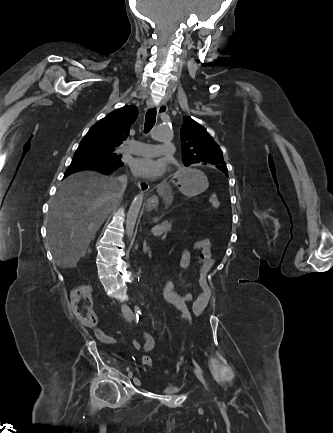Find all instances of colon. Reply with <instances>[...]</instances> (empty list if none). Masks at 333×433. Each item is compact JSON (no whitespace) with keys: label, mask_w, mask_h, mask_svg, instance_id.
Returning <instances> with one entry per match:
<instances>
[{"label":"colon","mask_w":333,"mask_h":433,"mask_svg":"<svg viewBox=\"0 0 333 433\" xmlns=\"http://www.w3.org/2000/svg\"><path fill=\"white\" fill-rule=\"evenodd\" d=\"M209 202L213 208L218 209L220 207V201L216 194H212L209 197ZM162 290L161 298L166 305H170L171 308L177 309L178 313H181V319L185 320L186 324L192 323L197 325V320H192V314L190 313L188 303L179 297L178 292H173L175 288L172 285L170 276H167L165 285L160 287ZM71 308L75 317L85 326L94 327L97 324V317L92 309V298L90 287L88 285H79L71 291ZM142 364L148 368L152 366V359L150 356L142 357Z\"/></svg>","instance_id":"5ec220e1"}]
</instances>
